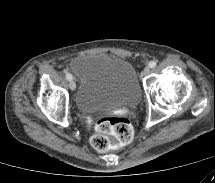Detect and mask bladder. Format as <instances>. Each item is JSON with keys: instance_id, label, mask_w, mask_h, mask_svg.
Returning a JSON list of instances; mask_svg holds the SVG:
<instances>
[{"instance_id": "bladder-1", "label": "bladder", "mask_w": 215, "mask_h": 183, "mask_svg": "<svg viewBox=\"0 0 215 183\" xmlns=\"http://www.w3.org/2000/svg\"><path fill=\"white\" fill-rule=\"evenodd\" d=\"M71 68L80 79L75 95L80 111L138 105L141 93L137 73L128 60L101 53L84 54L73 59Z\"/></svg>"}]
</instances>
